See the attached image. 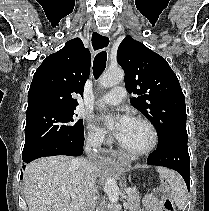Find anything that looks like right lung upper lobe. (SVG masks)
<instances>
[{
	"mask_svg": "<svg viewBox=\"0 0 209 211\" xmlns=\"http://www.w3.org/2000/svg\"><path fill=\"white\" fill-rule=\"evenodd\" d=\"M91 56L80 38L68 41L46 57L36 70L28 92L27 113L42 109H76L90 73Z\"/></svg>",
	"mask_w": 209,
	"mask_h": 211,
	"instance_id": "1",
	"label": "right lung upper lobe"
}]
</instances>
